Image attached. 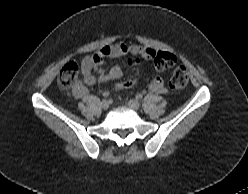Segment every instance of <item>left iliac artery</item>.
<instances>
[{
    "mask_svg": "<svg viewBox=\"0 0 248 194\" xmlns=\"http://www.w3.org/2000/svg\"><path fill=\"white\" fill-rule=\"evenodd\" d=\"M142 98H143L142 94H140V93L136 94V99L141 100Z\"/></svg>",
    "mask_w": 248,
    "mask_h": 194,
    "instance_id": "left-iliac-artery-1",
    "label": "left iliac artery"
}]
</instances>
